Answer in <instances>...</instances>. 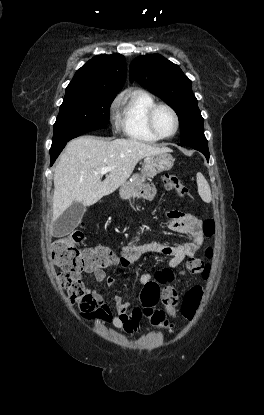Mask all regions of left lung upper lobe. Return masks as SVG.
Masks as SVG:
<instances>
[{
    "label": "left lung upper lobe",
    "instance_id": "left-lung-upper-lobe-1",
    "mask_svg": "<svg viewBox=\"0 0 264 415\" xmlns=\"http://www.w3.org/2000/svg\"><path fill=\"white\" fill-rule=\"evenodd\" d=\"M129 77L175 110L181 129V142L206 139L204 120L192 92L191 80L178 65L159 54L140 56L131 62Z\"/></svg>",
    "mask_w": 264,
    "mask_h": 415
}]
</instances>
